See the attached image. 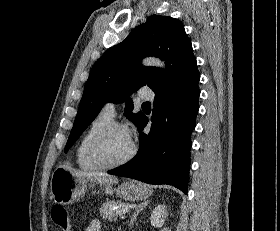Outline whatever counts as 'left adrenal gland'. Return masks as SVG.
<instances>
[{"label": "left adrenal gland", "instance_id": "1", "mask_svg": "<svg viewBox=\"0 0 280 231\" xmlns=\"http://www.w3.org/2000/svg\"><path fill=\"white\" fill-rule=\"evenodd\" d=\"M148 203H149V199H146V201H142V203H139V205H137V207H135V211H134V213H132V217L130 219L129 225H133L134 221H136V217H137L138 213H140V211H142L143 207H146V205H148Z\"/></svg>", "mask_w": 280, "mask_h": 231}]
</instances>
